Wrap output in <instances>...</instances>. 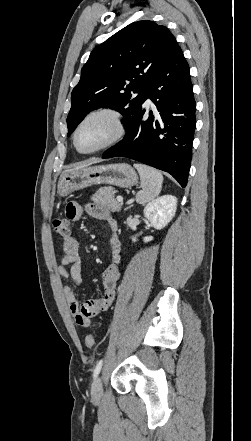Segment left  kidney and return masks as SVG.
Here are the masks:
<instances>
[{
  "instance_id": "5707ae66",
  "label": "left kidney",
  "mask_w": 251,
  "mask_h": 441,
  "mask_svg": "<svg viewBox=\"0 0 251 441\" xmlns=\"http://www.w3.org/2000/svg\"><path fill=\"white\" fill-rule=\"evenodd\" d=\"M176 208L177 198L172 195H163L147 204L144 208V216L155 229L161 230L173 219ZM143 240L149 242L153 240V237L146 236ZM132 241L136 242L137 238L133 237Z\"/></svg>"
}]
</instances>
